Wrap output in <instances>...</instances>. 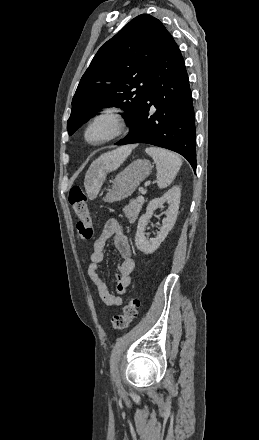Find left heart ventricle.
<instances>
[{
    "instance_id": "obj_1",
    "label": "left heart ventricle",
    "mask_w": 259,
    "mask_h": 440,
    "mask_svg": "<svg viewBox=\"0 0 259 440\" xmlns=\"http://www.w3.org/2000/svg\"><path fill=\"white\" fill-rule=\"evenodd\" d=\"M111 132V125L106 121H100L96 123L88 132V138L96 141L100 140Z\"/></svg>"
}]
</instances>
